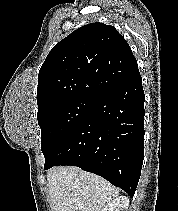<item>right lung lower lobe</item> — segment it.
Segmentation results:
<instances>
[{
    "label": "right lung lower lobe",
    "mask_w": 178,
    "mask_h": 211,
    "mask_svg": "<svg viewBox=\"0 0 178 211\" xmlns=\"http://www.w3.org/2000/svg\"><path fill=\"white\" fill-rule=\"evenodd\" d=\"M144 101L140 73L100 96L82 122L45 158L44 169L78 166L133 196L144 156Z\"/></svg>",
    "instance_id": "right-lung-lower-lobe-1"
}]
</instances>
